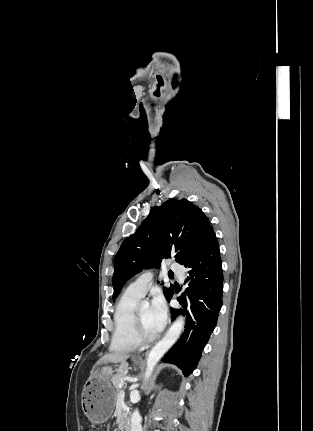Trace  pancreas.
I'll return each instance as SVG.
<instances>
[{"mask_svg":"<svg viewBox=\"0 0 313 431\" xmlns=\"http://www.w3.org/2000/svg\"><path fill=\"white\" fill-rule=\"evenodd\" d=\"M123 379H124V373L123 372H120L111 378V381L113 383V386H114V389L116 390V392L120 391L118 386L120 383H123ZM125 418H126V414L123 411L122 420H124Z\"/></svg>","mask_w":313,"mask_h":431,"instance_id":"pancreas-1","label":"pancreas"}]
</instances>
